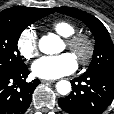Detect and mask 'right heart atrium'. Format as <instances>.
Instances as JSON below:
<instances>
[{
  "instance_id": "obj_1",
  "label": "right heart atrium",
  "mask_w": 114,
  "mask_h": 114,
  "mask_svg": "<svg viewBox=\"0 0 114 114\" xmlns=\"http://www.w3.org/2000/svg\"><path fill=\"white\" fill-rule=\"evenodd\" d=\"M17 50L25 60H30L38 54V36L33 27H27L19 34Z\"/></svg>"
}]
</instances>
